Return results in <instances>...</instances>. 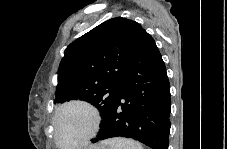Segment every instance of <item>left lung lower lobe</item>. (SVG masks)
<instances>
[{
	"mask_svg": "<svg viewBox=\"0 0 227 149\" xmlns=\"http://www.w3.org/2000/svg\"><path fill=\"white\" fill-rule=\"evenodd\" d=\"M170 111L166 67L154 39L143 30L117 99L92 142L127 137L152 149H168Z\"/></svg>",
	"mask_w": 227,
	"mask_h": 149,
	"instance_id": "obj_1",
	"label": "left lung lower lobe"
}]
</instances>
